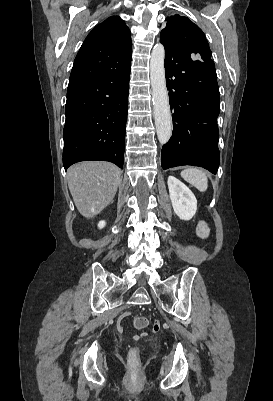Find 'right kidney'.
Segmentation results:
<instances>
[{"label": "right kidney", "instance_id": "1", "mask_svg": "<svg viewBox=\"0 0 273 401\" xmlns=\"http://www.w3.org/2000/svg\"><path fill=\"white\" fill-rule=\"evenodd\" d=\"M105 225H106L105 221H100V223H98L99 229H103V227H105Z\"/></svg>", "mask_w": 273, "mask_h": 401}]
</instances>
